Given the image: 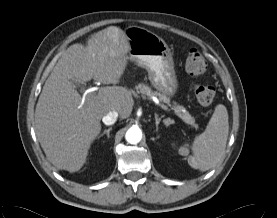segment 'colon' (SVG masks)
Segmentation results:
<instances>
[{"label":"colon","instance_id":"colon-1","mask_svg":"<svg viewBox=\"0 0 277 218\" xmlns=\"http://www.w3.org/2000/svg\"><path fill=\"white\" fill-rule=\"evenodd\" d=\"M185 69L192 77H200L207 70V61L203 54L198 50H190L185 60ZM197 101L202 106H210L216 95L215 88L206 83L197 84L194 88Z\"/></svg>","mask_w":277,"mask_h":218}]
</instances>
